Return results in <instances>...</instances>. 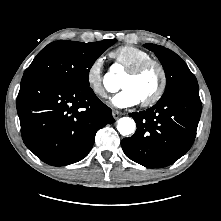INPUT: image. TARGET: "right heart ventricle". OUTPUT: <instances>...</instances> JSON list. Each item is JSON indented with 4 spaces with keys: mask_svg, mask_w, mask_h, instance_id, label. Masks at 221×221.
<instances>
[{
    "mask_svg": "<svg viewBox=\"0 0 221 221\" xmlns=\"http://www.w3.org/2000/svg\"><path fill=\"white\" fill-rule=\"evenodd\" d=\"M109 56L114 60L115 64L127 69L134 64L151 58V55L146 50L133 45L120 46L109 53Z\"/></svg>",
    "mask_w": 221,
    "mask_h": 221,
    "instance_id": "obj_1",
    "label": "right heart ventricle"
}]
</instances>
